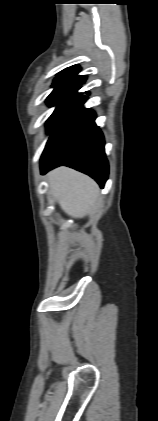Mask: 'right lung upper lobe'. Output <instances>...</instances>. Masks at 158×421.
<instances>
[{
  "label": "right lung upper lobe",
  "mask_w": 158,
  "mask_h": 421,
  "mask_svg": "<svg viewBox=\"0 0 158 421\" xmlns=\"http://www.w3.org/2000/svg\"><path fill=\"white\" fill-rule=\"evenodd\" d=\"M80 71L79 65H74L72 67L66 68L57 74L53 82V86H77L81 87L86 80L85 75H77Z\"/></svg>",
  "instance_id": "obj_1"
}]
</instances>
